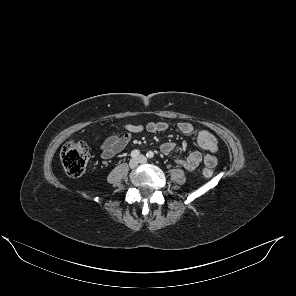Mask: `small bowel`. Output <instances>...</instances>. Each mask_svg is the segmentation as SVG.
<instances>
[{
  "label": "small bowel",
  "instance_id": "obj_1",
  "mask_svg": "<svg viewBox=\"0 0 296 296\" xmlns=\"http://www.w3.org/2000/svg\"><path fill=\"white\" fill-rule=\"evenodd\" d=\"M168 129L165 122H150L146 126L126 124L118 133L108 136L101 144V157L103 159H111L125 149L131 141L132 135L140 133L144 130L150 133L164 132ZM179 131L186 135H195L198 145L204 150V154L200 151H193L186 157H177L176 162L187 170L196 169L203 161L206 166L215 167L217 159L215 153L218 151V139L210 131L204 129H196L190 122L178 123ZM176 149L174 142H165L161 146V152L165 155L171 154Z\"/></svg>",
  "mask_w": 296,
  "mask_h": 296
}]
</instances>
